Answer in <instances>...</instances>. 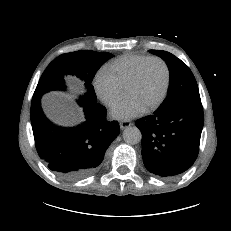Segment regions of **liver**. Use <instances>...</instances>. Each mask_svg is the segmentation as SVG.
Masks as SVG:
<instances>
[{
  "label": "liver",
  "instance_id": "liver-1",
  "mask_svg": "<svg viewBox=\"0 0 231 231\" xmlns=\"http://www.w3.org/2000/svg\"><path fill=\"white\" fill-rule=\"evenodd\" d=\"M47 110L48 113L56 119H60V120L66 119L65 115L63 114V109L60 108L58 102H56L55 100L48 101Z\"/></svg>",
  "mask_w": 231,
  "mask_h": 231
}]
</instances>
